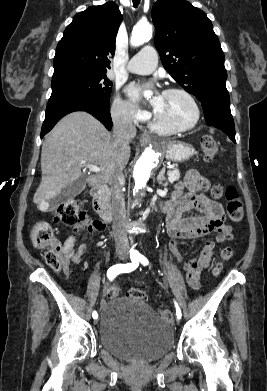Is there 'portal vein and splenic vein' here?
<instances>
[{
  "instance_id": "1",
  "label": "portal vein and splenic vein",
  "mask_w": 267,
  "mask_h": 391,
  "mask_svg": "<svg viewBox=\"0 0 267 391\" xmlns=\"http://www.w3.org/2000/svg\"><path fill=\"white\" fill-rule=\"evenodd\" d=\"M83 165H85L90 171H93V172H101V168L98 167V166H94V165H91V164H87L85 162H82ZM167 168H172V166H167Z\"/></svg>"
}]
</instances>
